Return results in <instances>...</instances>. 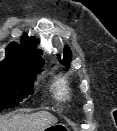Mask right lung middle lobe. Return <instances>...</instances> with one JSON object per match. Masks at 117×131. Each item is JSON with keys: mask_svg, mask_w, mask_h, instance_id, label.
Masks as SVG:
<instances>
[{"mask_svg": "<svg viewBox=\"0 0 117 131\" xmlns=\"http://www.w3.org/2000/svg\"><path fill=\"white\" fill-rule=\"evenodd\" d=\"M35 76L20 67L0 69V112L33 94Z\"/></svg>", "mask_w": 117, "mask_h": 131, "instance_id": "dd1d6c3e", "label": "right lung middle lobe"}]
</instances>
